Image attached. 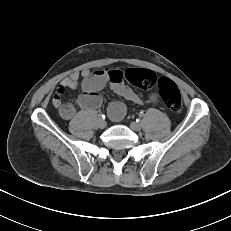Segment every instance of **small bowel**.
Returning a JSON list of instances; mask_svg holds the SVG:
<instances>
[{
  "label": "small bowel",
  "mask_w": 231,
  "mask_h": 231,
  "mask_svg": "<svg viewBox=\"0 0 231 231\" xmlns=\"http://www.w3.org/2000/svg\"><path fill=\"white\" fill-rule=\"evenodd\" d=\"M123 71L120 70H96L84 69L81 72H72L64 77L53 96L52 103L58 109L60 116L66 120H72L76 115V106L82 110L91 111L99 108L102 104L100 91L108 87L119 96L136 104H142L140 96L126 84L123 79ZM81 86L82 93L74 100L63 101V94L67 89H75ZM149 100L153 103L159 101L157 94L149 95ZM109 115L112 120L118 121L124 116V110L118 105L109 107Z\"/></svg>",
  "instance_id": "1"
}]
</instances>
